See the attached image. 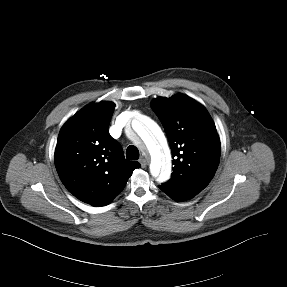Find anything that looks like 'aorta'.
I'll use <instances>...</instances> for the list:
<instances>
[{"label":"aorta","instance_id":"1","mask_svg":"<svg viewBox=\"0 0 287 287\" xmlns=\"http://www.w3.org/2000/svg\"><path fill=\"white\" fill-rule=\"evenodd\" d=\"M146 125L151 130L157 141L151 138L141 127V131L146 134L145 144L151 157L150 173L153 177H158L159 181L165 182L171 176V155L167 146L166 138L160 127L148 117H144ZM137 121H133L135 125ZM137 124L140 126L139 122Z\"/></svg>","mask_w":287,"mask_h":287}]
</instances>
